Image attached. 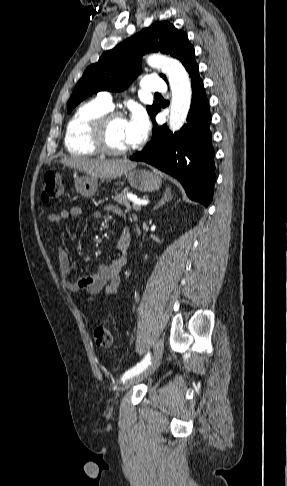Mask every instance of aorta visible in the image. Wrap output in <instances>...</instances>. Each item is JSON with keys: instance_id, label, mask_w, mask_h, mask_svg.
Masks as SVG:
<instances>
[{"instance_id": "aorta-1", "label": "aorta", "mask_w": 287, "mask_h": 486, "mask_svg": "<svg viewBox=\"0 0 287 486\" xmlns=\"http://www.w3.org/2000/svg\"><path fill=\"white\" fill-rule=\"evenodd\" d=\"M149 62L165 70L173 85V97L170 108L169 127L175 132L186 122L191 105V82L188 73L180 61L164 56H151Z\"/></svg>"}]
</instances>
